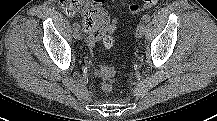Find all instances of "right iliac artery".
<instances>
[{
	"mask_svg": "<svg viewBox=\"0 0 217 121\" xmlns=\"http://www.w3.org/2000/svg\"><path fill=\"white\" fill-rule=\"evenodd\" d=\"M73 29H74V30H79V25H78L77 23H74V24H73Z\"/></svg>",
	"mask_w": 217,
	"mask_h": 121,
	"instance_id": "1",
	"label": "right iliac artery"
}]
</instances>
